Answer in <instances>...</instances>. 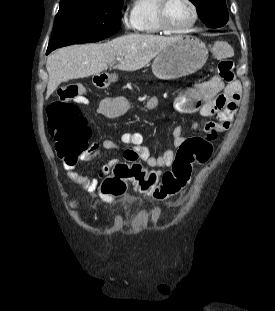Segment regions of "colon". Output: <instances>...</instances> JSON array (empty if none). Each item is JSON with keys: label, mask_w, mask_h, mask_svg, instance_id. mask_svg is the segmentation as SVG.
I'll list each match as a JSON object with an SVG mask.
<instances>
[{"label": "colon", "mask_w": 275, "mask_h": 311, "mask_svg": "<svg viewBox=\"0 0 275 311\" xmlns=\"http://www.w3.org/2000/svg\"><path fill=\"white\" fill-rule=\"evenodd\" d=\"M229 51L225 42H216L212 54L219 59L220 77L231 82L234 79V64L226 58ZM83 90L78 85H68L59 92V99L47 107L48 129L55 141L56 155L60 159L75 160L87 150L90 129L81 110L74 104H88V97H79ZM74 104L68 103L72 100ZM156 102L155 98L151 99ZM131 104V106H130ZM136 104H141V97H109L101 106V113L107 117H134ZM223 131L205 137H191L184 141L176 154L170 170L161 176L154 170L146 169L142 164L121 163L115 166L112 175H105L99 184L97 197L102 202H113L123 196L128 183L140 193L147 194L155 200H165L180 193L189 183L194 166L205 165L213 155V143L222 138ZM135 161V160H130Z\"/></svg>", "instance_id": "colon-1"}]
</instances>
